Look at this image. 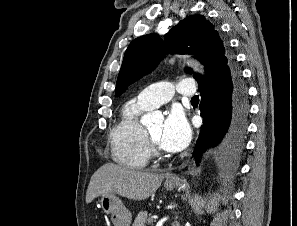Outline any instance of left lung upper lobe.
Here are the masks:
<instances>
[{"mask_svg":"<svg viewBox=\"0 0 297 226\" xmlns=\"http://www.w3.org/2000/svg\"><path fill=\"white\" fill-rule=\"evenodd\" d=\"M166 52L193 54L205 66L206 78L225 72L232 60L213 24L202 15H192L172 28L164 40L152 33L138 37L129 44L117 78L116 96L149 73ZM193 77L197 81L206 79L198 74Z\"/></svg>","mask_w":297,"mask_h":226,"instance_id":"left-lung-upper-lobe-1","label":"left lung upper lobe"}]
</instances>
